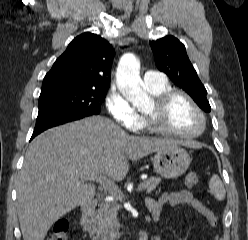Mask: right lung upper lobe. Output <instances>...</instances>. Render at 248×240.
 Returning a JSON list of instances; mask_svg holds the SVG:
<instances>
[{"mask_svg":"<svg viewBox=\"0 0 248 240\" xmlns=\"http://www.w3.org/2000/svg\"><path fill=\"white\" fill-rule=\"evenodd\" d=\"M114 50L103 38L89 32L77 36L46 74L41 93L63 89L106 90Z\"/></svg>","mask_w":248,"mask_h":240,"instance_id":"cb5924a9","label":"right lung upper lobe"}]
</instances>
